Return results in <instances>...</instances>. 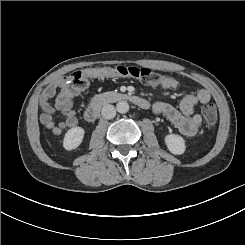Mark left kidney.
Instances as JSON below:
<instances>
[{
  "label": "left kidney",
  "instance_id": "5707ae66",
  "mask_svg": "<svg viewBox=\"0 0 245 245\" xmlns=\"http://www.w3.org/2000/svg\"><path fill=\"white\" fill-rule=\"evenodd\" d=\"M164 142L169 152L174 155H182L186 151L187 145L185 139L181 135L169 133L165 135Z\"/></svg>",
  "mask_w": 245,
  "mask_h": 245
}]
</instances>
